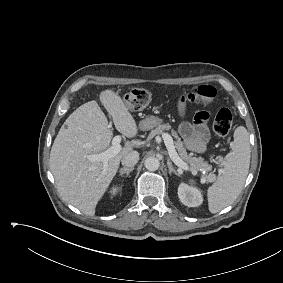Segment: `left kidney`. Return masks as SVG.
I'll return each instance as SVG.
<instances>
[{
	"instance_id": "left-kidney-1",
	"label": "left kidney",
	"mask_w": 283,
	"mask_h": 283,
	"mask_svg": "<svg viewBox=\"0 0 283 283\" xmlns=\"http://www.w3.org/2000/svg\"><path fill=\"white\" fill-rule=\"evenodd\" d=\"M178 196L180 201L188 207H197L203 202L201 191L185 183L179 185Z\"/></svg>"
}]
</instances>
